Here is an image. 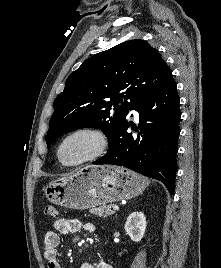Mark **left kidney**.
<instances>
[{
    "label": "left kidney",
    "mask_w": 221,
    "mask_h": 268,
    "mask_svg": "<svg viewBox=\"0 0 221 268\" xmlns=\"http://www.w3.org/2000/svg\"><path fill=\"white\" fill-rule=\"evenodd\" d=\"M125 230L129 234L131 240L139 242L146 230V217L142 212H133L127 218Z\"/></svg>",
    "instance_id": "obj_1"
}]
</instances>
